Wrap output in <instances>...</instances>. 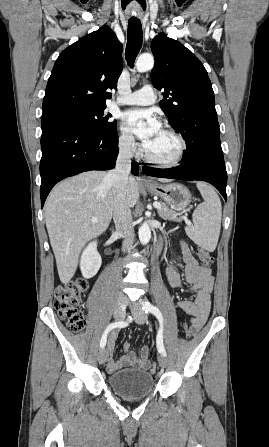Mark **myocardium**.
Instances as JSON below:
<instances>
[{"label": "myocardium", "mask_w": 269, "mask_h": 447, "mask_svg": "<svg viewBox=\"0 0 269 447\" xmlns=\"http://www.w3.org/2000/svg\"><path fill=\"white\" fill-rule=\"evenodd\" d=\"M163 128H165L167 131H169L171 134H173L180 142L179 150H178L176 156L174 157V159H172L171 161H159V160L152 158L146 150L145 143L143 144V154H144L145 160L153 165L163 167V168H173V167L178 166L182 162V160L185 156V153L187 151L188 144H187V140L184 137V135L182 133H180L178 130H176L174 127H172L170 125H164Z\"/></svg>", "instance_id": "obj_1"}]
</instances>
